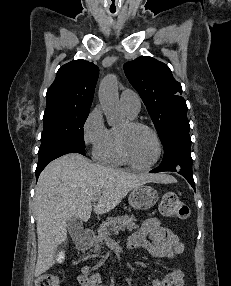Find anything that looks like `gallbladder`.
Masks as SVG:
<instances>
[{"label":"gallbladder","instance_id":"obj_1","mask_svg":"<svg viewBox=\"0 0 231 286\" xmlns=\"http://www.w3.org/2000/svg\"><path fill=\"white\" fill-rule=\"evenodd\" d=\"M66 230H70L72 232L70 234H82V218L80 216H76L72 214L70 218L67 220V225L65 226ZM58 253H65L63 250H56ZM58 255H65V254H58ZM66 256H57L56 263H63V259Z\"/></svg>","mask_w":231,"mask_h":286}]
</instances>
